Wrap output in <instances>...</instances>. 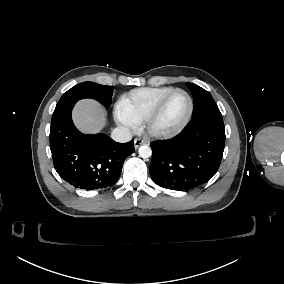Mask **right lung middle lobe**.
<instances>
[{"instance_id":"right-lung-middle-lobe-1","label":"right lung middle lobe","mask_w":284,"mask_h":284,"mask_svg":"<svg viewBox=\"0 0 284 284\" xmlns=\"http://www.w3.org/2000/svg\"><path fill=\"white\" fill-rule=\"evenodd\" d=\"M112 94V86L99 85L86 81L65 92L57 103L56 108H60L69 103H76L83 98H92L104 106H109L111 104Z\"/></svg>"}]
</instances>
